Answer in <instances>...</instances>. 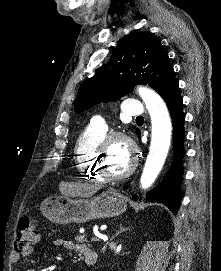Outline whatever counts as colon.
Listing matches in <instances>:
<instances>
[{"instance_id": "colon-1", "label": "colon", "mask_w": 221, "mask_h": 271, "mask_svg": "<svg viewBox=\"0 0 221 271\" xmlns=\"http://www.w3.org/2000/svg\"><path fill=\"white\" fill-rule=\"evenodd\" d=\"M39 229L35 221L23 217L19 224V229L15 238V250L23 252L35 245L38 241Z\"/></svg>"}]
</instances>
